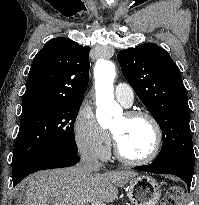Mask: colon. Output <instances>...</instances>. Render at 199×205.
Listing matches in <instances>:
<instances>
[{"label":"colon","mask_w":199,"mask_h":205,"mask_svg":"<svg viewBox=\"0 0 199 205\" xmlns=\"http://www.w3.org/2000/svg\"><path fill=\"white\" fill-rule=\"evenodd\" d=\"M182 188L179 186L170 187L161 205H179L182 198Z\"/></svg>","instance_id":"5ec220e1"}]
</instances>
